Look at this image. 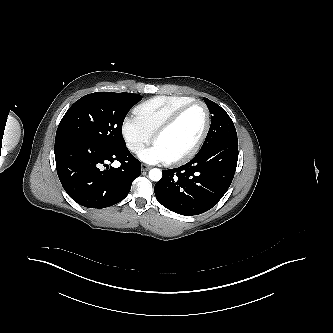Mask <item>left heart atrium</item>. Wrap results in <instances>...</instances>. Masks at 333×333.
Listing matches in <instances>:
<instances>
[{
  "label": "left heart atrium",
  "instance_id": "39dd6f15",
  "mask_svg": "<svg viewBox=\"0 0 333 333\" xmlns=\"http://www.w3.org/2000/svg\"><path fill=\"white\" fill-rule=\"evenodd\" d=\"M139 157L141 160L151 164L167 161L166 155L157 144L141 151Z\"/></svg>",
  "mask_w": 333,
  "mask_h": 333
}]
</instances>
